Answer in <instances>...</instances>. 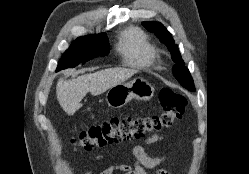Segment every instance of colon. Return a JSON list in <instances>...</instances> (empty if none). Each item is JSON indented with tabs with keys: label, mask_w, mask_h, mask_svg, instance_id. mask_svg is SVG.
<instances>
[{
	"label": "colon",
	"mask_w": 249,
	"mask_h": 174,
	"mask_svg": "<svg viewBox=\"0 0 249 174\" xmlns=\"http://www.w3.org/2000/svg\"><path fill=\"white\" fill-rule=\"evenodd\" d=\"M159 100L161 110L158 113L111 118L82 131L77 137L72 138L70 143L74 147L90 150L112 143L162 135L181 119L187 99L170 88H164L159 94Z\"/></svg>",
	"instance_id": "1"
}]
</instances>
